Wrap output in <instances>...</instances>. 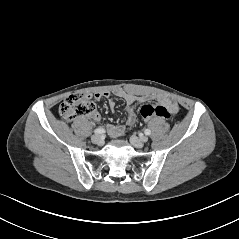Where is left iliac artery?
I'll return each instance as SVG.
<instances>
[{
  "label": "left iliac artery",
  "mask_w": 239,
  "mask_h": 239,
  "mask_svg": "<svg viewBox=\"0 0 239 239\" xmlns=\"http://www.w3.org/2000/svg\"><path fill=\"white\" fill-rule=\"evenodd\" d=\"M144 133H145L146 135H150V134H151V131H150L149 129H146V130L144 131Z\"/></svg>",
  "instance_id": "1"
}]
</instances>
